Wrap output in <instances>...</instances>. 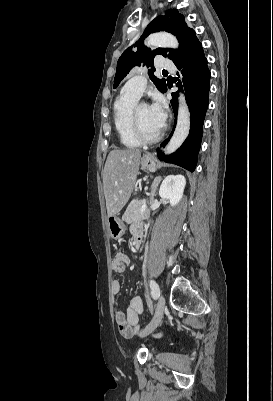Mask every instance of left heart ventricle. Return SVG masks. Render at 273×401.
<instances>
[{
    "label": "left heart ventricle",
    "instance_id": "b2bd125f",
    "mask_svg": "<svg viewBox=\"0 0 273 401\" xmlns=\"http://www.w3.org/2000/svg\"><path fill=\"white\" fill-rule=\"evenodd\" d=\"M137 118L142 130L147 135H154L161 129L153 122L149 115L148 108L144 104H140L137 111Z\"/></svg>",
    "mask_w": 273,
    "mask_h": 401
}]
</instances>
